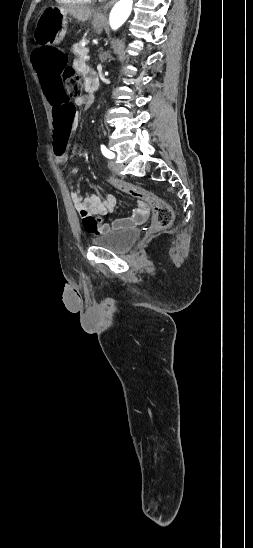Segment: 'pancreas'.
<instances>
[{
  "label": "pancreas",
  "mask_w": 253,
  "mask_h": 548,
  "mask_svg": "<svg viewBox=\"0 0 253 548\" xmlns=\"http://www.w3.org/2000/svg\"><path fill=\"white\" fill-rule=\"evenodd\" d=\"M88 48L83 47L81 42L73 45L72 52L77 56L80 61H84L83 57L88 53Z\"/></svg>",
  "instance_id": "1"
}]
</instances>
